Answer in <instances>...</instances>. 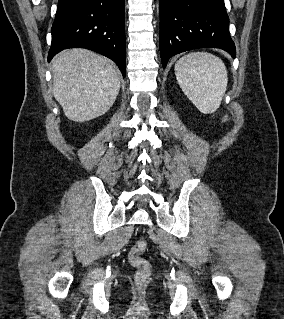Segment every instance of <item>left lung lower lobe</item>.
<instances>
[{
  "mask_svg": "<svg viewBox=\"0 0 284 319\" xmlns=\"http://www.w3.org/2000/svg\"><path fill=\"white\" fill-rule=\"evenodd\" d=\"M160 54L165 68L170 57L213 47L236 56L224 0H159Z\"/></svg>",
  "mask_w": 284,
  "mask_h": 319,
  "instance_id": "1",
  "label": "left lung lower lobe"
}]
</instances>
